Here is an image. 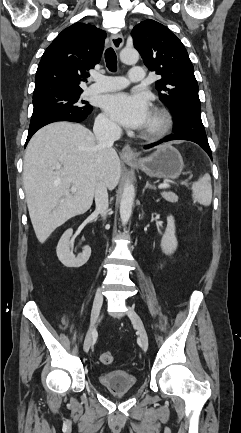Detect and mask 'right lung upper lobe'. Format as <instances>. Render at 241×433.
Returning a JSON list of instances; mask_svg holds the SVG:
<instances>
[{
	"label": "right lung upper lobe",
	"instance_id": "cb5924a9",
	"mask_svg": "<svg viewBox=\"0 0 241 433\" xmlns=\"http://www.w3.org/2000/svg\"><path fill=\"white\" fill-rule=\"evenodd\" d=\"M106 33L77 22L64 29L45 50L35 76L33 97L57 91H82L88 70L100 60Z\"/></svg>",
	"mask_w": 241,
	"mask_h": 433
}]
</instances>
